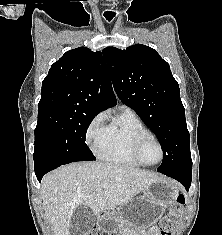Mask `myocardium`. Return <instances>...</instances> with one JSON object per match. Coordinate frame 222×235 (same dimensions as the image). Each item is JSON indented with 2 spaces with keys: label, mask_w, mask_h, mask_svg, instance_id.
Here are the masks:
<instances>
[{
  "label": "myocardium",
  "mask_w": 222,
  "mask_h": 235,
  "mask_svg": "<svg viewBox=\"0 0 222 235\" xmlns=\"http://www.w3.org/2000/svg\"><path fill=\"white\" fill-rule=\"evenodd\" d=\"M150 140L156 142V144L160 149V159L156 163H147L142 158V148ZM132 154L135 160L142 166L153 167L160 164L163 161L165 156V151L161 141L155 135L149 133V134H143L135 140L132 147Z\"/></svg>",
  "instance_id": "myocardium-1"
}]
</instances>
